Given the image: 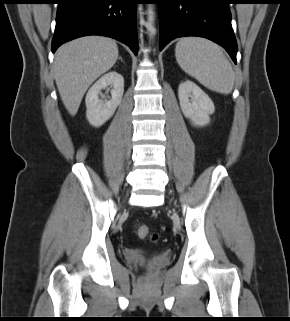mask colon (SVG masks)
Masks as SVG:
<instances>
[{"instance_id": "1", "label": "colon", "mask_w": 290, "mask_h": 321, "mask_svg": "<svg viewBox=\"0 0 290 321\" xmlns=\"http://www.w3.org/2000/svg\"><path fill=\"white\" fill-rule=\"evenodd\" d=\"M136 234L139 238L150 240L152 242H156L159 239L158 234L152 232L146 224L138 225L136 228Z\"/></svg>"}]
</instances>
